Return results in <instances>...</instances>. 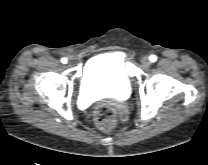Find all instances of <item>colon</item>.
Returning a JSON list of instances; mask_svg holds the SVG:
<instances>
[{
	"label": "colon",
	"instance_id": "obj_1",
	"mask_svg": "<svg viewBox=\"0 0 208 165\" xmlns=\"http://www.w3.org/2000/svg\"><path fill=\"white\" fill-rule=\"evenodd\" d=\"M94 120L96 126L102 131L112 130L117 121V111L113 105L103 103L94 111Z\"/></svg>",
	"mask_w": 208,
	"mask_h": 165
}]
</instances>
